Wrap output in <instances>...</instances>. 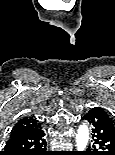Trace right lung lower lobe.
<instances>
[{
	"instance_id": "obj_1",
	"label": "right lung lower lobe",
	"mask_w": 115,
	"mask_h": 155,
	"mask_svg": "<svg viewBox=\"0 0 115 155\" xmlns=\"http://www.w3.org/2000/svg\"><path fill=\"white\" fill-rule=\"evenodd\" d=\"M0 155H51L46 148L44 131L42 128L10 138L5 150Z\"/></svg>"
}]
</instances>
